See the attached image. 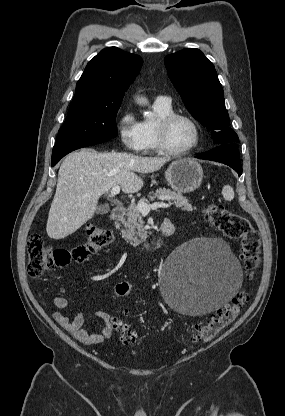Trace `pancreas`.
<instances>
[{
  "label": "pancreas",
  "mask_w": 285,
  "mask_h": 416,
  "mask_svg": "<svg viewBox=\"0 0 285 416\" xmlns=\"http://www.w3.org/2000/svg\"><path fill=\"white\" fill-rule=\"evenodd\" d=\"M152 196H148L151 202H154L155 198L158 196H167L168 202L173 200L174 206L176 208H182V210H187V212H193L196 208H193L192 204H189V200H186L185 196H181V194H176V192H172V190H166V188H159L156 190L155 194L150 192ZM140 202H147L146 198H141ZM129 212L126 214V222H122V226L124 230H121L122 236L126 242H129L131 246H137L140 242H145L146 238H148L144 224L142 220V216H140V212L137 210V206L132 204L128 208ZM140 238V240H138Z\"/></svg>",
  "instance_id": "pancreas-1"
}]
</instances>
